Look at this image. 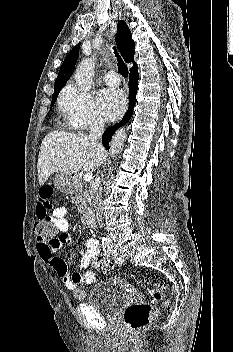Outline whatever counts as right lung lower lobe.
I'll return each instance as SVG.
<instances>
[{
	"instance_id": "right-lung-lower-lobe-1",
	"label": "right lung lower lobe",
	"mask_w": 233,
	"mask_h": 352,
	"mask_svg": "<svg viewBox=\"0 0 233 352\" xmlns=\"http://www.w3.org/2000/svg\"><path fill=\"white\" fill-rule=\"evenodd\" d=\"M138 79H139V75H138V69L131 71L130 73V77H129V108L128 111L126 112L125 116L123 117V119L121 120L120 123L109 127L102 135V143L103 146L106 149H109V142L112 138V135L115 133V131L123 126L125 123H127L133 113V108L135 105V101H136V93H137V89H138Z\"/></svg>"
}]
</instances>
